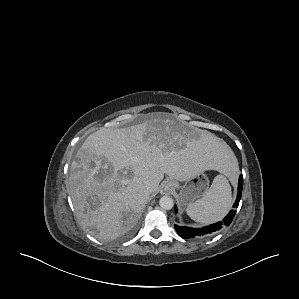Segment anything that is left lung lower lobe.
I'll return each instance as SVG.
<instances>
[{
    "label": "left lung lower lobe",
    "instance_id": "obj_1",
    "mask_svg": "<svg viewBox=\"0 0 299 299\" xmlns=\"http://www.w3.org/2000/svg\"><path fill=\"white\" fill-rule=\"evenodd\" d=\"M242 188H243V177L241 174L239 177V182H238L237 199H236L233 207H238V205H239V202L241 199V194H242ZM175 212H176V209H175ZM235 214H236V211L231 210L229 212V214L223 219L222 222H218V223H215L210 226L203 227V228H190V227H181V226L175 225V229H176L177 233L184 239L208 236L210 234L217 232L223 226H229L230 223L232 222Z\"/></svg>",
    "mask_w": 299,
    "mask_h": 299
}]
</instances>
